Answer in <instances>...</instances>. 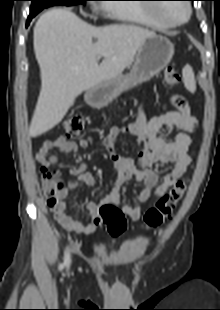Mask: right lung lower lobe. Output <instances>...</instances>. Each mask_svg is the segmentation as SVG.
I'll list each match as a JSON object with an SVG mask.
<instances>
[{
  "label": "right lung lower lobe",
  "instance_id": "98d812e1",
  "mask_svg": "<svg viewBox=\"0 0 220 310\" xmlns=\"http://www.w3.org/2000/svg\"><path fill=\"white\" fill-rule=\"evenodd\" d=\"M37 14H30L29 15V17H28V19H27V25L30 23V21H31V19L33 18V17H35Z\"/></svg>",
  "mask_w": 220,
  "mask_h": 310
}]
</instances>
